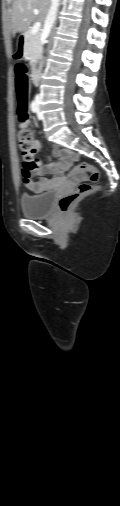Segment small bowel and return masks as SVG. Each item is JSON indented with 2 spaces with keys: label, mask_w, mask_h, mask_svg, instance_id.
Instances as JSON below:
<instances>
[{
  "label": "small bowel",
  "mask_w": 120,
  "mask_h": 506,
  "mask_svg": "<svg viewBox=\"0 0 120 506\" xmlns=\"http://www.w3.org/2000/svg\"><path fill=\"white\" fill-rule=\"evenodd\" d=\"M21 126L26 127L28 126V123L21 124ZM52 158H57V160H51L48 163H42L38 161V166L33 171L24 169V184L30 191L39 193L47 188L49 181L44 178V175L46 174L54 175V180H61L63 178V171L70 169L73 165L75 155L74 152L70 149L57 148V150L52 155ZM36 175L42 177L41 180L36 181L34 179ZM83 179H85V174L83 173L78 172L73 175V181L75 182L81 181Z\"/></svg>",
  "instance_id": "small-bowel-1"
}]
</instances>
